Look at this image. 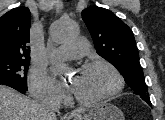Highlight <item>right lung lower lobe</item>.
I'll list each match as a JSON object with an SVG mask.
<instances>
[{"mask_svg":"<svg viewBox=\"0 0 165 120\" xmlns=\"http://www.w3.org/2000/svg\"><path fill=\"white\" fill-rule=\"evenodd\" d=\"M9 87H12L14 89H16L17 91L21 92V93H26L27 90L23 89V88H20L18 86H13V85H7Z\"/></svg>","mask_w":165,"mask_h":120,"instance_id":"1","label":"right lung lower lobe"}]
</instances>
